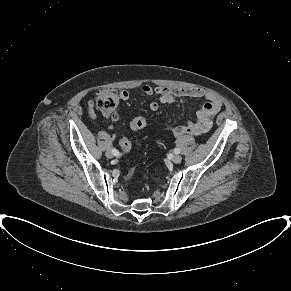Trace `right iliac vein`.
<instances>
[{
    "label": "right iliac vein",
    "mask_w": 291,
    "mask_h": 291,
    "mask_svg": "<svg viewBox=\"0 0 291 291\" xmlns=\"http://www.w3.org/2000/svg\"><path fill=\"white\" fill-rule=\"evenodd\" d=\"M106 157L107 158H113L114 157V154L112 152V150H108L106 153H105Z\"/></svg>",
    "instance_id": "63e3f726"
}]
</instances>
